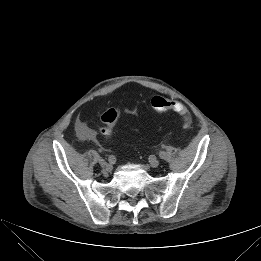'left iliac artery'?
Listing matches in <instances>:
<instances>
[{"instance_id": "left-iliac-artery-1", "label": "left iliac artery", "mask_w": 261, "mask_h": 261, "mask_svg": "<svg viewBox=\"0 0 261 261\" xmlns=\"http://www.w3.org/2000/svg\"><path fill=\"white\" fill-rule=\"evenodd\" d=\"M158 155L160 159H166L167 157V153L165 151H160Z\"/></svg>"}]
</instances>
